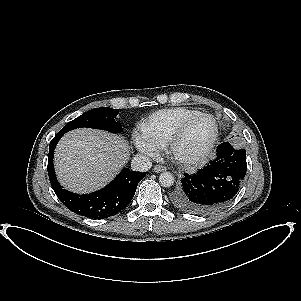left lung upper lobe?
Returning a JSON list of instances; mask_svg holds the SVG:
<instances>
[{
	"label": "left lung upper lobe",
	"mask_w": 301,
	"mask_h": 301,
	"mask_svg": "<svg viewBox=\"0 0 301 301\" xmlns=\"http://www.w3.org/2000/svg\"><path fill=\"white\" fill-rule=\"evenodd\" d=\"M176 191H177V190H176ZM176 191H175V192H176ZM175 192L172 194L171 199H172V197H174Z\"/></svg>",
	"instance_id": "1"
}]
</instances>
